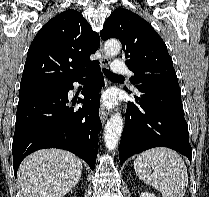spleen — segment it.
<instances>
[{"mask_svg":"<svg viewBox=\"0 0 209 197\" xmlns=\"http://www.w3.org/2000/svg\"><path fill=\"white\" fill-rule=\"evenodd\" d=\"M137 176L157 189L162 197H183L188 185V173L182 157L169 148L147 150L134 160Z\"/></svg>","mask_w":209,"mask_h":197,"instance_id":"1","label":"spleen"}]
</instances>
